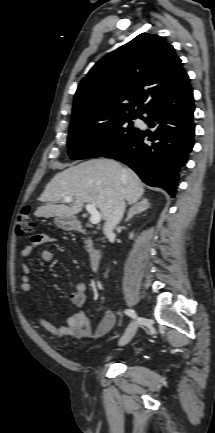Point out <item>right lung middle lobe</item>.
<instances>
[{
  "label": "right lung middle lobe",
  "instance_id": "right-lung-middle-lobe-1",
  "mask_svg": "<svg viewBox=\"0 0 215 433\" xmlns=\"http://www.w3.org/2000/svg\"><path fill=\"white\" fill-rule=\"evenodd\" d=\"M138 116H124L89 124L71 125L68 136V154L79 160L105 156L131 140L139 129L131 120Z\"/></svg>",
  "mask_w": 215,
  "mask_h": 433
}]
</instances>
